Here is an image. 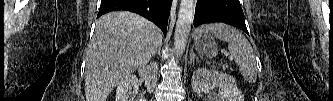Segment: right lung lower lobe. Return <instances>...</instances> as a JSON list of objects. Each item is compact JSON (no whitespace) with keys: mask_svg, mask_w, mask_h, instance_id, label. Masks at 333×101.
<instances>
[{"mask_svg":"<svg viewBox=\"0 0 333 101\" xmlns=\"http://www.w3.org/2000/svg\"><path fill=\"white\" fill-rule=\"evenodd\" d=\"M171 3L172 0H101L97 18L107 12L126 10L147 18L165 35Z\"/></svg>","mask_w":333,"mask_h":101,"instance_id":"right-lung-lower-lobe-1","label":"right lung lower lobe"}]
</instances>
